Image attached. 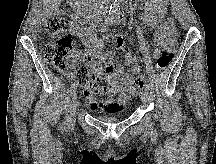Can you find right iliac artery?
I'll use <instances>...</instances> for the list:
<instances>
[{"label":"right iliac artery","mask_w":216,"mask_h":164,"mask_svg":"<svg viewBox=\"0 0 216 164\" xmlns=\"http://www.w3.org/2000/svg\"><path fill=\"white\" fill-rule=\"evenodd\" d=\"M115 22L114 18H108L105 20L104 24L101 26V32L105 31L106 28H108L110 25H112ZM76 83H72L71 87L69 89V93L72 95V93L76 90ZM69 126V117H66V120L64 121V128L66 129Z\"/></svg>","instance_id":"right-iliac-artery-1"}]
</instances>
